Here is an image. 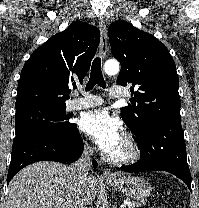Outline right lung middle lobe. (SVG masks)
Listing matches in <instances>:
<instances>
[{
  "label": "right lung middle lobe",
  "mask_w": 199,
  "mask_h": 208,
  "mask_svg": "<svg viewBox=\"0 0 199 208\" xmlns=\"http://www.w3.org/2000/svg\"><path fill=\"white\" fill-rule=\"evenodd\" d=\"M66 107L31 106L16 110L15 133L31 129H43L53 134H62L76 124L68 121Z\"/></svg>",
  "instance_id": "obj_1"
}]
</instances>
